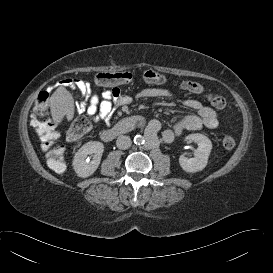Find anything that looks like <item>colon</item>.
Returning a JSON list of instances; mask_svg holds the SVG:
<instances>
[{"label":"colon","mask_w":273,"mask_h":273,"mask_svg":"<svg viewBox=\"0 0 273 273\" xmlns=\"http://www.w3.org/2000/svg\"><path fill=\"white\" fill-rule=\"evenodd\" d=\"M135 75L131 72H102L95 76L94 82L99 86L113 87L121 84L131 83ZM140 78L147 84H164L166 77L154 70H146ZM189 89L193 92H200L202 86L195 81L188 82ZM49 91H41L38 95L36 105L31 115V125L36 130L42 147L45 151V156L48 165L57 173H62L66 169L64 163V147L59 144L60 134L56 124L51 120L48 110V101L50 99ZM208 100L216 109H223L226 106V100L221 95L209 94ZM92 124L88 117H77L67 132L69 141H76L83 137L91 130ZM236 144L232 136H225L222 140V145L225 149H232Z\"/></svg>","instance_id":"obj_1"}]
</instances>
